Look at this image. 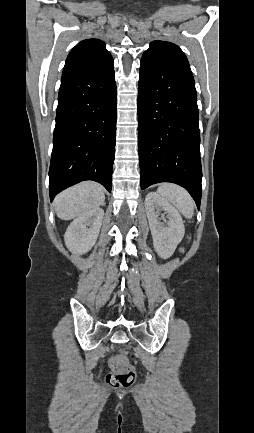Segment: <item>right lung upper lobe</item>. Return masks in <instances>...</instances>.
<instances>
[{"label": "right lung upper lobe", "instance_id": "cb5924a9", "mask_svg": "<svg viewBox=\"0 0 254 433\" xmlns=\"http://www.w3.org/2000/svg\"><path fill=\"white\" fill-rule=\"evenodd\" d=\"M113 60L99 39H86L79 42L69 53L63 75L71 72L94 69Z\"/></svg>", "mask_w": 254, "mask_h": 433}]
</instances>
